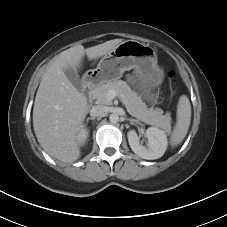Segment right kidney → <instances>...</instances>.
Listing matches in <instances>:
<instances>
[{
	"mask_svg": "<svg viewBox=\"0 0 227 227\" xmlns=\"http://www.w3.org/2000/svg\"><path fill=\"white\" fill-rule=\"evenodd\" d=\"M88 137V131L85 128H82L79 132V142L84 144Z\"/></svg>",
	"mask_w": 227,
	"mask_h": 227,
	"instance_id": "obj_1",
	"label": "right kidney"
}]
</instances>
